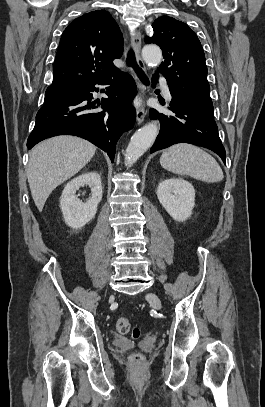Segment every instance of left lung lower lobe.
Wrapping results in <instances>:
<instances>
[{"mask_svg": "<svg viewBox=\"0 0 265 407\" xmlns=\"http://www.w3.org/2000/svg\"><path fill=\"white\" fill-rule=\"evenodd\" d=\"M157 78L158 76L155 74L152 78L153 86L157 83ZM171 96L169 109L173 115H165L155 109H150V118L158 119L161 124L151 153L176 143H190L214 151L226 163V152L218 135L214 115L208 114L172 94Z\"/></svg>", "mask_w": 265, "mask_h": 407, "instance_id": "0a47b994", "label": "left lung lower lobe"}]
</instances>
